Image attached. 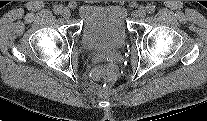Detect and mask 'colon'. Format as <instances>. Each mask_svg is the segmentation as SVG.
Returning a JSON list of instances; mask_svg holds the SVG:
<instances>
[{
	"label": "colon",
	"mask_w": 207,
	"mask_h": 121,
	"mask_svg": "<svg viewBox=\"0 0 207 121\" xmlns=\"http://www.w3.org/2000/svg\"><path fill=\"white\" fill-rule=\"evenodd\" d=\"M97 72L108 80H114L118 73L116 66L112 64L101 67Z\"/></svg>",
	"instance_id": "colon-1"
}]
</instances>
